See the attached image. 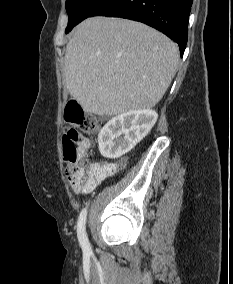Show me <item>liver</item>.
I'll list each match as a JSON object with an SVG mask.
<instances>
[{
    "label": "liver",
    "mask_w": 233,
    "mask_h": 284,
    "mask_svg": "<svg viewBox=\"0 0 233 284\" xmlns=\"http://www.w3.org/2000/svg\"><path fill=\"white\" fill-rule=\"evenodd\" d=\"M178 61L177 44L161 32L127 19L93 17L73 31L63 74L85 111L114 116L154 107Z\"/></svg>",
    "instance_id": "liver-1"
}]
</instances>
